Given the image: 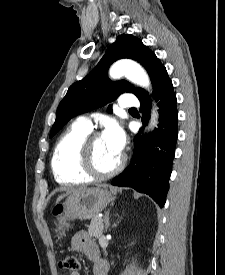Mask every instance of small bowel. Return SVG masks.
Listing matches in <instances>:
<instances>
[{"label":"small bowel","instance_id":"1","mask_svg":"<svg viewBox=\"0 0 225 275\" xmlns=\"http://www.w3.org/2000/svg\"><path fill=\"white\" fill-rule=\"evenodd\" d=\"M73 251L84 253L93 262V275H108V263L100 257V252L95 241L85 231L75 233L71 239ZM69 275H80L71 272Z\"/></svg>","mask_w":225,"mask_h":275}]
</instances>
